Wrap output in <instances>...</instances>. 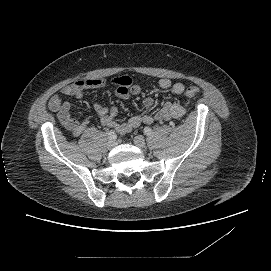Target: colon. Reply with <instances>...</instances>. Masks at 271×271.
Wrapping results in <instances>:
<instances>
[{
	"label": "colon",
	"instance_id": "obj_1",
	"mask_svg": "<svg viewBox=\"0 0 271 271\" xmlns=\"http://www.w3.org/2000/svg\"><path fill=\"white\" fill-rule=\"evenodd\" d=\"M131 91L134 93L135 92V88L132 87ZM200 94V89L198 87H188L185 92L184 95L186 97L192 98V97H196Z\"/></svg>",
	"mask_w": 271,
	"mask_h": 271
}]
</instances>
